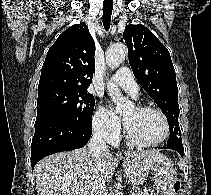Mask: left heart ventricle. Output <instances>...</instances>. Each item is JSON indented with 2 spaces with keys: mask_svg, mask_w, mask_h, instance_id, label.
I'll return each mask as SVG.
<instances>
[{
  "mask_svg": "<svg viewBox=\"0 0 211 195\" xmlns=\"http://www.w3.org/2000/svg\"><path fill=\"white\" fill-rule=\"evenodd\" d=\"M123 118L132 134L142 142H155L164 135V122L153 111H140L136 107H130L123 112Z\"/></svg>",
  "mask_w": 211,
  "mask_h": 195,
  "instance_id": "b2bd125f",
  "label": "left heart ventricle"
}]
</instances>
